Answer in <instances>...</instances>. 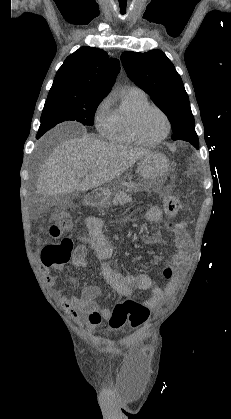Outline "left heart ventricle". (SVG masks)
<instances>
[{
	"label": "left heart ventricle",
	"instance_id": "1",
	"mask_svg": "<svg viewBox=\"0 0 231 419\" xmlns=\"http://www.w3.org/2000/svg\"><path fill=\"white\" fill-rule=\"evenodd\" d=\"M140 128L146 138L154 140L165 133L166 122L157 110L150 109L141 118Z\"/></svg>",
	"mask_w": 231,
	"mask_h": 419
}]
</instances>
